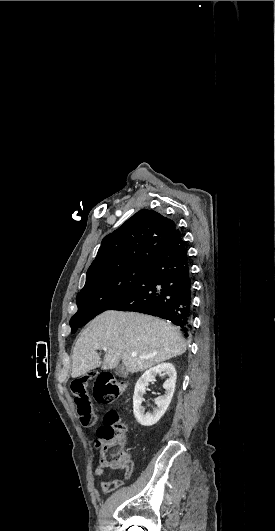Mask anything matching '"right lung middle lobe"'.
<instances>
[{
  "mask_svg": "<svg viewBox=\"0 0 275 531\" xmlns=\"http://www.w3.org/2000/svg\"><path fill=\"white\" fill-rule=\"evenodd\" d=\"M146 265L130 266L102 275L85 286L77 295V313L71 318L72 333L98 314L121 301L138 282Z\"/></svg>",
  "mask_w": 275,
  "mask_h": 531,
  "instance_id": "1",
  "label": "right lung middle lobe"
}]
</instances>
